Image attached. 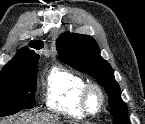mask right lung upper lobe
<instances>
[{
	"instance_id": "cb5924a9",
	"label": "right lung upper lobe",
	"mask_w": 145,
	"mask_h": 124,
	"mask_svg": "<svg viewBox=\"0 0 145 124\" xmlns=\"http://www.w3.org/2000/svg\"><path fill=\"white\" fill-rule=\"evenodd\" d=\"M31 47L39 50L43 47L42 41H32ZM39 60V55L36 54L33 50L28 48H22L18 51L14 59L8 62L2 69L1 74L9 75L15 74L22 71H26L35 65Z\"/></svg>"
}]
</instances>
